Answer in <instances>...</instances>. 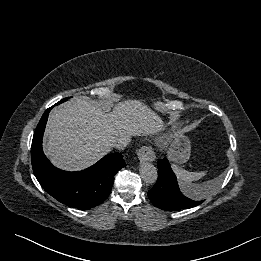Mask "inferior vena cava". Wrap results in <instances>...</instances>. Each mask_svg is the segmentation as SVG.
Wrapping results in <instances>:
<instances>
[{
  "label": "inferior vena cava",
  "mask_w": 261,
  "mask_h": 261,
  "mask_svg": "<svg viewBox=\"0 0 261 261\" xmlns=\"http://www.w3.org/2000/svg\"><path fill=\"white\" fill-rule=\"evenodd\" d=\"M130 140L126 137L118 138L114 141L113 146L119 150L125 149V147L129 144Z\"/></svg>",
  "instance_id": "1"
}]
</instances>
